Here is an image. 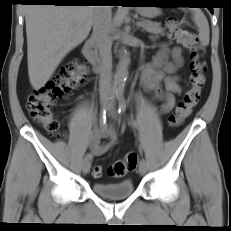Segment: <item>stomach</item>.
I'll list each match as a JSON object with an SVG mask.
<instances>
[{"label": "stomach", "instance_id": "stomach-1", "mask_svg": "<svg viewBox=\"0 0 231 231\" xmlns=\"http://www.w3.org/2000/svg\"><path fill=\"white\" fill-rule=\"evenodd\" d=\"M150 9L151 8L148 7H138V12L145 17L151 18L155 16V13H153Z\"/></svg>", "mask_w": 231, "mask_h": 231}]
</instances>
